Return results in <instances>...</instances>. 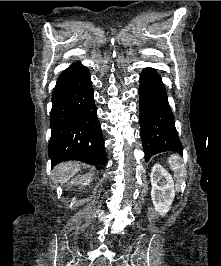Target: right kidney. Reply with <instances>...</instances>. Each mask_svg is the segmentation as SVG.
<instances>
[{"label": "right kidney", "instance_id": "ca27d5eb", "mask_svg": "<svg viewBox=\"0 0 221 266\" xmlns=\"http://www.w3.org/2000/svg\"><path fill=\"white\" fill-rule=\"evenodd\" d=\"M90 181H91V176L84 177L82 184L89 185Z\"/></svg>", "mask_w": 221, "mask_h": 266}]
</instances>
